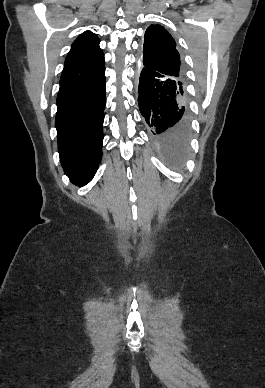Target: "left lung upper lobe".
Returning a JSON list of instances; mask_svg holds the SVG:
<instances>
[{"label": "left lung upper lobe", "instance_id": "obj_1", "mask_svg": "<svg viewBox=\"0 0 265 388\" xmlns=\"http://www.w3.org/2000/svg\"><path fill=\"white\" fill-rule=\"evenodd\" d=\"M143 66L171 77L182 84L187 100L185 75L172 36L160 25H150L144 36Z\"/></svg>", "mask_w": 265, "mask_h": 388}]
</instances>
